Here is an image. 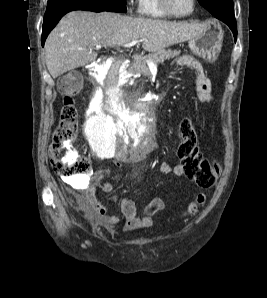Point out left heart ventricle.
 <instances>
[{"instance_id": "1", "label": "left heart ventricle", "mask_w": 267, "mask_h": 298, "mask_svg": "<svg viewBox=\"0 0 267 298\" xmlns=\"http://www.w3.org/2000/svg\"><path fill=\"white\" fill-rule=\"evenodd\" d=\"M171 9L178 14H186L191 10L192 0H168Z\"/></svg>"}]
</instances>
